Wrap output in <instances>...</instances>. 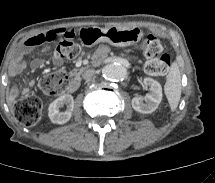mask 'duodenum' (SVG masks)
<instances>
[{"instance_id":"410a0bca","label":"duodenum","mask_w":215,"mask_h":183,"mask_svg":"<svg viewBox=\"0 0 215 183\" xmlns=\"http://www.w3.org/2000/svg\"><path fill=\"white\" fill-rule=\"evenodd\" d=\"M79 87V79L73 78L70 80L69 85L67 86V92H74Z\"/></svg>"}]
</instances>
